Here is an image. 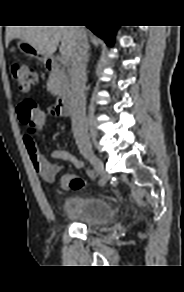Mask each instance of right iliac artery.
Wrapping results in <instances>:
<instances>
[{
    "instance_id": "82829eb1",
    "label": "right iliac artery",
    "mask_w": 184,
    "mask_h": 292,
    "mask_svg": "<svg viewBox=\"0 0 184 292\" xmlns=\"http://www.w3.org/2000/svg\"><path fill=\"white\" fill-rule=\"evenodd\" d=\"M97 182H100V179H97Z\"/></svg>"
}]
</instances>
